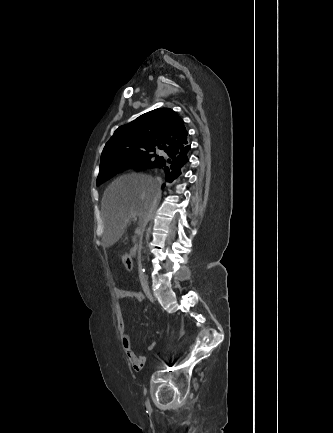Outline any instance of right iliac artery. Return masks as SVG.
Wrapping results in <instances>:
<instances>
[{
	"mask_svg": "<svg viewBox=\"0 0 333 433\" xmlns=\"http://www.w3.org/2000/svg\"><path fill=\"white\" fill-rule=\"evenodd\" d=\"M146 406H147V408H150V403H149V401L146 402Z\"/></svg>",
	"mask_w": 333,
	"mask_h": 433,
	"instance_id": "right-iliac-artery-1",
	"label": "right iliac artery"
}]
</instances>
